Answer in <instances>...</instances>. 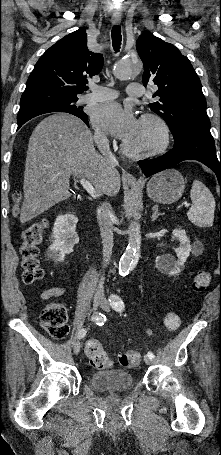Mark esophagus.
<instances>
[{
	"instance_id": "34e87169",
	"label": "esophagus",
	"mask_w": 221,
	"mask_h": 455,
	"mask_svg": "<svg viewBox=\"0 0 221 455\" xmlns=\"http://www.w3.org/2000/svg\"><path fill=\"white\" fill-rule=\"evenodd\" d=\"M111 22L113 25H118L121 22V16L120 15H113L111 18ZM123 178L128 182L129 184H136L137 179L130 173L125 172L123 175Z\"/></svg>"
}]
</instances>
